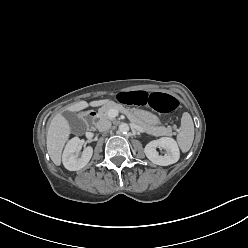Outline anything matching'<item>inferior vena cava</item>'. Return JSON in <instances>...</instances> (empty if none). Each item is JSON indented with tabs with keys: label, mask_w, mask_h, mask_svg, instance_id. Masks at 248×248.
I'll return each instance as SVG.
<instances>
[{
	"label": "inferior vena cava",
	"mask_w": 248,
	"mask_h": 248,
	"mask_svg": "<svg viewBox=\"0 0 248 248\" xmlns=\"http://www.w3.org/2000/svg\"><path fill=\"white\" fill-rule=\"evenodd\" d=\"M97 128L99 131H107L111 128V122L109 120H100L97 123Z\"/></svg>",
	"instance_id": "inferior-vena-cava-1"
}]
</instances>
